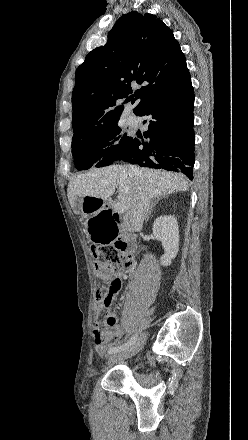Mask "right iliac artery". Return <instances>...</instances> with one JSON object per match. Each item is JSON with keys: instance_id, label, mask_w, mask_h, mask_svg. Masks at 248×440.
<instances>
[{"instance_id": "82829eb1", "label": "right iliac artery", "mask_w": 248, "mask_h": 440, "mask_svg": "<svg viewBox=\"0 0 248 440\" xmlns=\"http://www.w3.org/2000/svg\"><path fill=\"white\" fill-rule=\"evenodd\" d=\"M137 340V335H134L130 338V340H128L125 344L119 345V346H115V347H111L108 351L109 354H113L116 352H119L121 350L127 349L129 348L132 344H134Z\"/></svg>"}]
</instances>
